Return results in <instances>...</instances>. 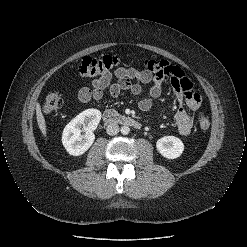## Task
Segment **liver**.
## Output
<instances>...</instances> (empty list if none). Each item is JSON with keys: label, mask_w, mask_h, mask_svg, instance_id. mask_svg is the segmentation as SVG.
Returning a JSON list of instances; mask_svg holds the SVG:
<instances>
[{"label": "liver", "mask_w": 247, "mask_h": 247, "mask_svg": "<svg viewBox=\"0 0 247 247\" xmlns=\"http://www.w3.org/2000/svg\"><path fill=\"white\" fill-rule=\"evenodd\" d=\"M36 118L40 131L44 136L47 134L45 118L41 112V106L39 103L36 104Z\"/></svg>", "instance_id": "obj_1"}]
</instances>
